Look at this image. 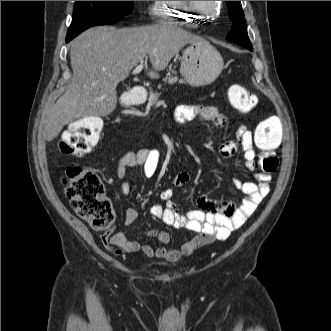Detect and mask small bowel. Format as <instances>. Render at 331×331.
<instances>
[{
    "mask_svg": "<svg viewBox=\"0 0 331 331\" xmlns=\"http://www.w3.org/2000/svg\"><path fill=\"white\" fill-rule=\"evenodd\" d=\"M174 117L180 124L195 120L211 121L217 127H224L227 124L226 116L213 106L181 105L176 108ZM254 146L255 142L251 131L245 126H240L236 131L235 139L225 141L220 146L219 152L224 159H229L237 152L238 148H241L245 168L253 171L256 156ZM159 157L160 153L157 149H141L137 152L126 153L119 160L118 173L123 176L128 168L143 166L145 176L150 178L156 172ZM254 177L256 183L244 182L237 178L233 180L235 187L247 196L239 205L232 201L215 200L200 195L196 200L198 209L181 213L178 204L173 199V190L185 185L190 176L186 172L179 173L174 178L171 187L161 192L160 199L162 203L154 204L150 209V214L169 226L196 233V236L184 242L180 247L155 248L130 239L122 232H106L101 236V240L107 249L116 254L122 252L135 253L141 250L148 257L176 261L181 256L190 254L196 248L215 240L224 241L228 239L232 231L242 226L250 218L261 201L270 192V175L255 173ZM121 190L124 195L129 193V181L122 184ZM137 217L138 211L135 208H128L124 217L125 226L130 228ZM147 235L156 237L163 244H168L171 239L168 232L158 229L148 230Z\"/></svg>",
    "mask_w": 331,
    "mask_h": 331,
    "instance_id": "small-bowel-1",
    "label": "small bowel"
}]
</instances>
